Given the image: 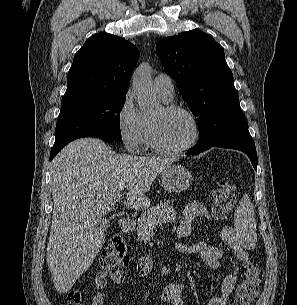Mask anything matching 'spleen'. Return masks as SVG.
Segmentation results:
<instances>
[{
  "label": "spleen",
  "instance_id": "3e777b00",
  "mask_svg": "<svg viewBox=\"0 0 297 305\" xmlns=\"http://www.w3.org/2000/svg\"><path fill=\"white\" fill-rule=\"evenodd\" d=\"M235 231L253 245L256 242V219L250 197L244 194L234 214Z\"/></svg>",
  "mask_w": 297,
  "mask_h": 305
}]
</instances>
